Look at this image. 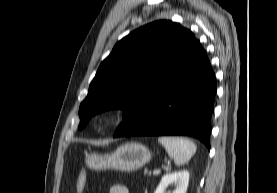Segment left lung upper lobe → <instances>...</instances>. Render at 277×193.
<instances>
[{
    "label": "left lung upper lobe",
    "instance_id": "5c2ea615",
    "mask_svg": "<svg viewBox=\"0 0 277 193\" xmlns=\"http://www.w3.org/2000/svg\"><path fill=\"white\" fill-rule=\"evenodd\" d=\"M197 39L178 23L159 20L120 40L101 63L79 108V129L107 109L126 112L124 126L192 53Z\"/></svg>",
    "mask_w": 277,
    "mask_h": 193
}]
</instances>
